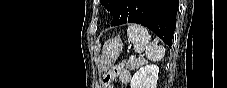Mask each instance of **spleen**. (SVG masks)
I'll list each match as a JSON object with an SVG mask.
<instances>
[{
    "mask_svg": "<svg viewBox=\"0 0 227 88\" xmlns=\"http://www.w3.org/2000/svg\"><path fill=\"white\" fill-rule=\"evenodd\" d=\"M129 42L137 53L145 51L146 57L151 61H159L165 55V48L158 45V39H153L147 29L138 24H131L127 29Z\"/></svg>",
    "mask_w": 227,
    "mask_h": 88,
    "instance_id": "3e777b00",
    "label": "spleen"
}]
</instances>
